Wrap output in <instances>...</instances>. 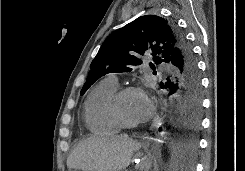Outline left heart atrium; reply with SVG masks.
<instances>
[{"instance_id": "39dd6f15", "label": "left heart atrium", "mask_w": 245, "mask_h": 171, "mask_svg": "<svg viewBox=\"0 0 245 171\" xmlns=\"http://www.w3.org/2000/svg\"><path fill=\"white\" fill-rule=\"evenodd\" d=\"M153 112H154L153 102L150 99L144 97V101L139 116L140 121L143 122L148 120L152 116Z\"/></svg>"}]
</instances>
